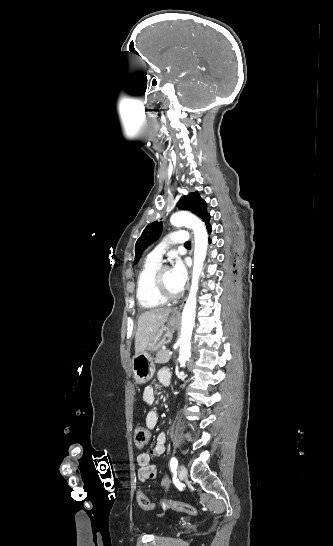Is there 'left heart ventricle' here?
<instances>
[{
    "mask_svg": "<svg viewBox=\"0 0 333 546\" xmlns=\"http://www.w3.org/2000/svg\"><path fill=\"white\" fill-rule=\"evenodd\" d=\"M163 283H164L165 288L170 293H173V294L178 293L176 291V289L174 288V286H173L172 279H171V274H170V271H168V270L163 275Z\"/></svg>",
    "mask_w": 333,
    "mask_h": 546,
    "instance_id": "1",
    "label": "left heart ventricle"
}]
</instances>
